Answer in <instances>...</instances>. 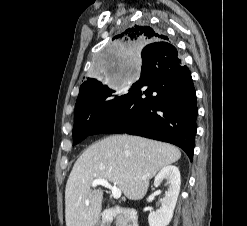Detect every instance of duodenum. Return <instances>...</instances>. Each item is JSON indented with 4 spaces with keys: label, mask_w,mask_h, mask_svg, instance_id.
I'll use <instances>...</instances> for the list:
<instances>
[{
    "label": "duodenum",
    "mask_w": 247,
    "mask_h": 226,
    "mask_svg": "<svg viewBox=\"0 0 247 226\" xmlns=\"http://www.w3.org/2000/svg\"><path fill=\"white\" fill-rule=\"evenodd\" d=\"M115 219L119 220L121 226H138L136 210L125 207H112L105 210L101 226H107Z\"/></svg>",
    "instance_id": "410a0bca"
}]
</instances>
